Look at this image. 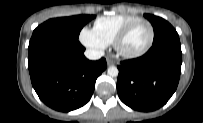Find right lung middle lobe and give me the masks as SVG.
Instances as JSON below:
<instances>
[{"label": "right lung middle lobe", "mask_w": 203, "mask_h": 123, "mask_svg": "<svg viewBox=\"0 0 203 123\" xmlns=\"http://www.w3.org/2000/svg\"><path fill=\"white\" fill-rule=\"evenodd\" d=\"M94 15H76L49 19L39 25L33 34L46 33L72 40H77L83 26L92 20Z\"/></svg>", "instance_id": "right-lung-middle-lobe-1"}]
</instances>
